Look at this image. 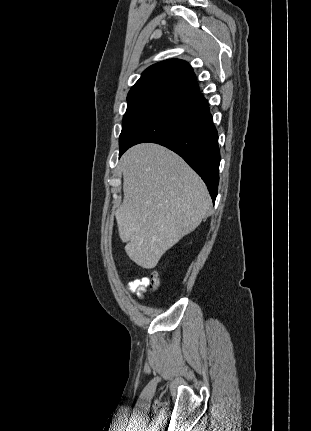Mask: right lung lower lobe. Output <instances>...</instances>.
<instances>
[{
  "mask_svg": "<svg viewBox=\"0 0 311 431\" xmlns=\"http://www.w3.org/2000/svg\"><path fill=\"white\" fill-rule=\"evenodd\" d=\"M143 142L163 145L180 155L203 179L215 201L220 163L218 133L202 93L183 96L158 112L133 134L119 156Z\"/></svg>",
  "mask_w": 311,
  "mask_h": 431,
  "instance_id": "1",
  "label": "right lung lower lobe"
}]
</instances>
